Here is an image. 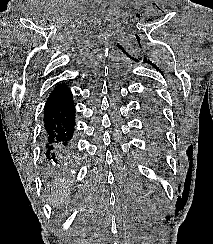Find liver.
I'll return each instance as SVG.
<instances>
[{
    "mask_svg": "<svg viewBox=\"0 0 213 244\" xmlns=\"http://www.w3.org/2000/svg\"><path fill=\"white\" fill-rule=\"evenodd\" d=\"M70 193V184L60 177L55 179L47 185L45 196L49 200L54 208L62 205Z\"/></svg>",
    "mask_w": 213,
    "mask_h": 244,
    "instance_id": "6515ba94",
    "label": "liver"
}]
</instances>
